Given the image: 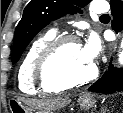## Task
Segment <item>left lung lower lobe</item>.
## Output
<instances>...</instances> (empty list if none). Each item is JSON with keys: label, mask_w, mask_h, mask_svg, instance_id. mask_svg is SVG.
Wrapping results in <instances>:
<instances>
[{"label": "left lung lower lobe", "mask_w": 123, "mask_h": 113, "mask_svg": "<svg viewBox=\"0 0 123 113\" xmlns=\"http://www.w3.org/2000/svg\"><path fill=\"white\" fill-rule=\"evenodd\" d=\"M110 5L113 16L112 28L118 33L123 29V1L110 0ZM88 90L97 93L123 91V69L115 68L110 63L108 71L103 74L101 79L90 86Z\"/></svg>", "instance_id": "1"}]
</instances>
